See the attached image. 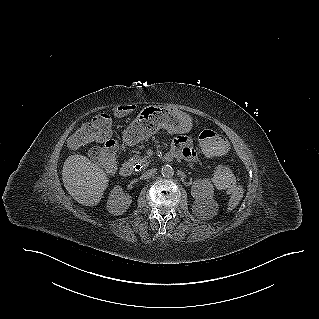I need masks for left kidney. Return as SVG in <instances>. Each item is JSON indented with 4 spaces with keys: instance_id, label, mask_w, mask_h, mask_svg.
Here are the masks:
<instances>
[{
    "instance_id": "obj_1",
    "label": "left kidney",
    "mask_w": 319,
    "mask_h": 319,
    "mask_svg": "<svg viewBox=\"0 0 319 319\" xmlns=\"http://www.w3.org/2000/svg\"><path fill=\"white\" fill-rule=\"evenodd\" d=\"M191 195L195 198V205L200 208L201 216L210 218L216 215L218 204L213 200L214 188L209 179L194 181Z\"/></svg>"
}]
</instances>
